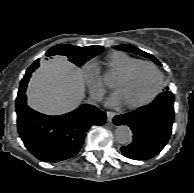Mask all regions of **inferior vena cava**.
<instances>
[{
  "mask_svg": "<svg viewBox=\"0 0 194 193\" xmlns=\"http://www.w3.org/2000/svg\"><path fill=\"white\" fill-rule=\"evenodd\" d=\"M101 97H102L101 94H95L94 96H92V100L99 101Z\"/></svg>",
  "mask_w": 194,
  "mask_h": 193,
  "instance_id": "inferior-vena-cava-1",
  "label": "inferior vena cava"
}]
</instances>
